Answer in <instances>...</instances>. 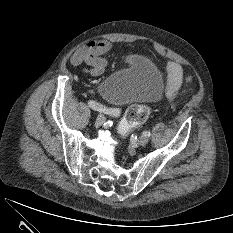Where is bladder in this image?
Returning a JSON list of instances; mask_svg holds the SVG:
<instances>
[{
  "instance_id": "bladder-1",
  "label": "bladder",
  "mask_w": 233,
  "mask_h": 233,
  "mask_svg": "<svg viewBox=\"0 0 233 233\" xmlns=\"http://www.w3.org/2000/svg\"><path fill=\"white\" fill-rule=\"evenodd\" d=\"M163 90L161 71L141 54L129 56L127 64L110 74L98 87L100 96L114 105L154 102L162 96Z\"/></svg>"
}]
</instances>
